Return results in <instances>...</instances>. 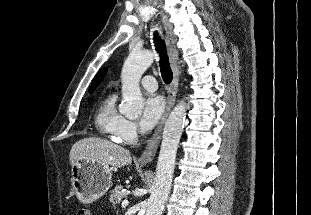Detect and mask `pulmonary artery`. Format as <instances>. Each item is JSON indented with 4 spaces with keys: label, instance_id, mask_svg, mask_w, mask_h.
I'll list each match as a JSON object with an SVG mask.
<instances>
[{
    "label": "pulmonary artery",
    "instance_id": "pulmonary-artery-1",
    "mask_svg": "<svg viewBox=\"0 0 311 215\" xmlns=\"http://www.w3.org/2000/svg\"><path fill=\"white\" fill-rule=\"evenodd\" d=\"M141 85L145 90L149 92H153L157 89V81L153 76L148 75L143 77L141 80Z\"/></svg>",
    "mask_w": 311,
    "mask_h": 215
}]
</instances>
